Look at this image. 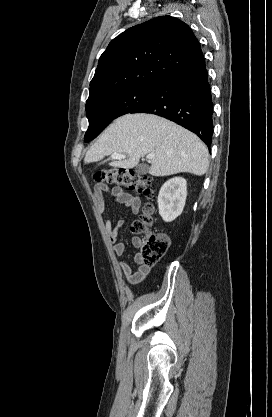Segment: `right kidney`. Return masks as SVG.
Returning a JSON list of instances; mask_svg holds the SVG:
<instances>
[{"label": "right kidney", "instance_id": "1", "mask_svg": "<svg viewBox=\"0 0 272 417\" xmlns=\"http://www.w3.org/2000/svg\"><path fill=\"white\" fill-rule=\"evenodd\" d=\"M187 196V182L175 177L166 181L158 195L159 214L165 222H171L181 215Z\"/></svg>", "mask_w": 272, "mask_h": 417}]
</instances>
